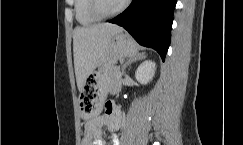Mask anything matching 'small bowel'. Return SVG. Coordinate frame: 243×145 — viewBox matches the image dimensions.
<instances>
[{"mask_svg": "<svg viewBox=\"0 0 243 145\" xmlns=\"http://www.w3.org/2000/svg\"><path fill=\"white\" fill-rule=\"evenodd\" d=\"M122 124V115L117 106L112 103L106 105L105 111L99 116L91 119L85 125L82 145H106V140L102 136L103 128L110 132L112 145H120L118 136L115 134Z\"/></svg>", "mask_w": 243, "mask_h": 145, "instance_id": "1", "label": "small bowel"}]
</instances>
